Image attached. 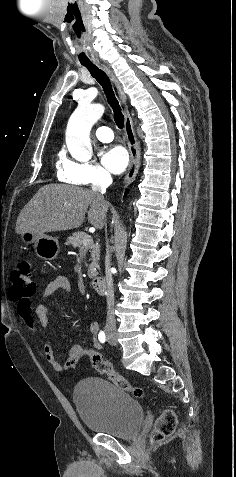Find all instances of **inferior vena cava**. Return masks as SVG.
<instances>
[{
  "instance_id": "1",
  "label": "inferior vena cava",
  "mask_w": 236,
  "mask_h": 477,
  "mask_svg": "<svg viewBox=\"0 0 236 477\" xmlns=\"http://www.w3.org/2000/svg\"><path fill=\"white\" fill-rule=\"evenodd\" d=\"M112 183L111 176H105L100 179L96 184L93 185L92 190L98 196L103 198V194L106 192V188ZM105 274H106V300H107V324L115 325V316H114V288H113V277L111 272L110 264V253L109 248L107 249L106 261H105Z\"/></svg>"
}]
</instances>
